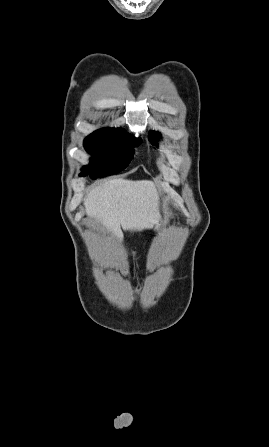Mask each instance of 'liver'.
<instances>
[{
	"instance_id": "obj_1",
	"label": "liver",
	"mask_w": 269,
	"mask_h": 447,
	"mask_svg": "<svg viewBox=\"0 0 269 447\" xmlns=\"http://www.w3.org/2000/svg\"><path fill=\"white\" fill-rule=\"evenodd\" d=\"M84 206L89 218H96L120 241L123 239L121 225L123 229L141 231L153 227L160 218L158 192L149 180H108L91 190Z\"/></svg>"
}]
</instances>
